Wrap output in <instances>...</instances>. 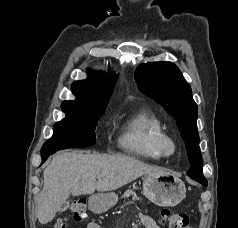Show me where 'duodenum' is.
<instances>
[{"label":"duodenum","mask_w":238,"mask_h":228,"mask_svg":"<svg viewBox=\"0 0 238 228\" xmlns=\"http://www.w3.org/2000/svg\"><path fill=\"white\" fill-rule=\"evenodd\" d=\"M92 206L95 207V203H93Z\"/></svg>","instance_id":"duodenum-1"}]
</instances>
